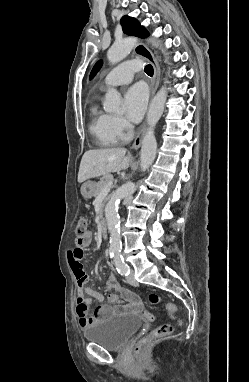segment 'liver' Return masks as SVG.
<instances>
[{"label":"liver","mask_w":249,"mask_h":382,"mask_svg":"<svg viewBox=\"0 0 249 382\" xmlns=\"http://www.w3.org/2000/svg\"><path fill=\"white\" fill-rule=\"evenodd\" d=\"M132 162L131 155L126 156L124 148L88 150L84 153L78 172V182L99 177L110 172L119 173L127 169Z\"/></svg>","instance_id":"1"}]
</instances>
